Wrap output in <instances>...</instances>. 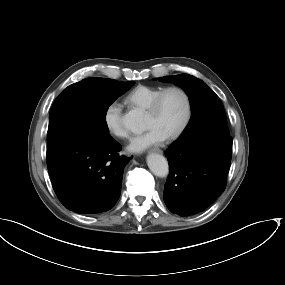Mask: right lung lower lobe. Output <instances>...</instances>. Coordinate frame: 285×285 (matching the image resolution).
I'll use <instances>...</instances> for the list:
<instances>
[{
    "label": "right lung lower lobe",
    "mask_w": 285,
    "mask_h": 285,
    "mask_svg": "<svg viewBox=\"0 0 285 285\" xmlns=\"http://www.w3.org/2000/svg\"><path fill=\"white\" fill-rule=\"evenodd\" d=\"M109 134L73 133L47 151V167L60 202L80 214L110 210L121 193L129 158Z\"/></svg>",
    "instance_id": "98d812e1"
}]
</instances>
